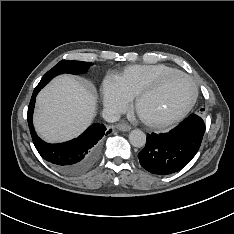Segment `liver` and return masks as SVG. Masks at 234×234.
Returning a JSON list of instances; mask_svg holds the SVG:
<instances>
[{"mask_svg": "<svg viewBox=\"0 0 234 234\" xmlns=\"http://www.w3.org/2000/svg\"><path fill=\"white\" fill-rule=\"evenodd\" d=\"M96 111L94 91L71 76L52 80L36 99L34 126L47 142H62L81 134Z\"/></svg>", "mask_w": 234, "mask_h": 234, "instance_id": "obj_1", "label": "liver"}]
</instances>
